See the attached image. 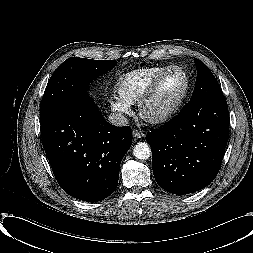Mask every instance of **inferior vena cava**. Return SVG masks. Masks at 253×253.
Segmentation results:
<instances>
[{"label":"inferior vena cava","instance_id":"602c4592","mask_svg":"<svg viewBox=\"0 0 253 253\" xmlns=\"http://www.w3.org/2000/svg\"><path fill=\"white\" fill-rule=\"evenodd\" d=\"M109 122L115 126H126L128 119L121 114L113 113L109 116Z\"/></svg>","mask_w":253,"mask_h":253}]
</instances>
